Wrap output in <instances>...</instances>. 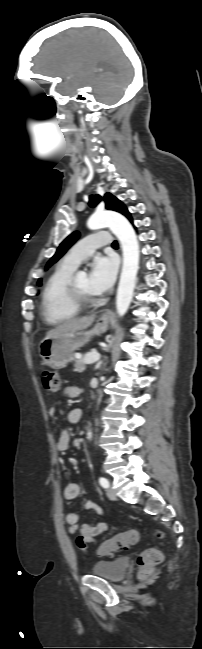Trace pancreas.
Instances as JSON below:
<instances>
[{"mask_svg": "<svg viewBox=\"0 0 202 649\" xmlns=\"http://www.w3.org/2000/svg\"><path fill=\"white\" fill-rule=\"evenodd\" d=\"M92 352H96V351L93 350ZM96 353H97V352H96ZM97 354H98V353H97ZM98 355H99V354H98ZM85 369H86V364H85L84 360H83V359L76 360V362H75V369H74L75 372H79V373H81V372H83Z\"/></svg>", "mask_w": 202, "mask_h": 649, "instance_id": "obj_1", "label": "pancreas"}]
</instances>
